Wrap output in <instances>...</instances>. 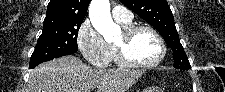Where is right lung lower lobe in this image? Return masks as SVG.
<instances>
[{"label": "right lung lower lobe", "mask_w": 225, "mask_h": 92, "mask_svg": "<svg viewBox=\"0 0 225 92\" xmlns=\"http://www.w3.org/2000/svg\"><path fill=\"white\" fill-rule=\"evenodd\" d=\"M69 54H73V53H68V54H65V55H69ZM63 56H64V55H63ZM60 57H61V56H60ZM52 59H54V58H52ZM52 59H48V60H52ZM48 60L30 63L29 68H34V67H36L38 64H40V63H42V62H45V61H48Z\"/></svg>", "instance_id": "obj_1"}]
</instances>
